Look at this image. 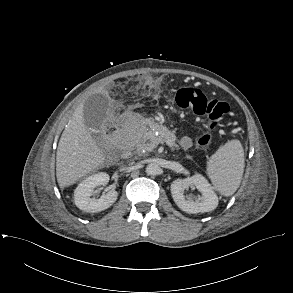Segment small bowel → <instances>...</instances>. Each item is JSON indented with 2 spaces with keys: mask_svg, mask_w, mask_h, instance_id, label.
I'll list each match as a JSON object with an SVG mask.
<instances>
[{
  "mask_svg": "<svg viewBox=\"0 0 293 293\" xmlns=\"http://www.w3.org/2000/svg\"><path fill=\"white\" fill-rule=\"evenodd\" d=\"M144 83L148 86V87H150V88H152V87H154L155 86V80L152 78V77H150V76H145L144 77ZM191 140L188 138V137H185V138H183L181 141H180V145L182 146V148H184V149H188L190 146H191Z\"/></svg>",
  "mask_w": 293,
  "mask_h": 293,
  "instance_id": "obj_1",
  "label": "small bowel"
}]
</instances>
